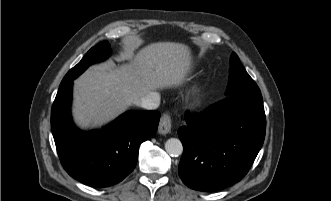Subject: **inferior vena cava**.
Here are the masks:
<instances>
[{
  "label": "inferior vena cava",
  "mask_w": 331,
  "mask_h": 201,
  "mask_svg": "<svg viewBox=\"0 0 331 201\" xmlns=\"http://www.w3.org/2000/svg\"><path fill=\"white\" fill-rule=\"evenodd\" d=\"M159 104L160 95L157 92H150L139 100V105L148 110L158 108Z\"/></svg>",
  "instance_id": "602c4592"
}]
</instances>
